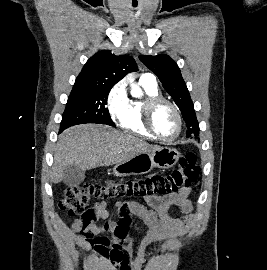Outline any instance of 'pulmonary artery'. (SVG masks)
Listing matches in <instances>:
<instances>
[{
  "label": "pulmonary artery",
  "instance_id": "e3ab8cb5",
  "mask_svg": "<svg viewBox=\"0 0 267 270\" xmlns=\"http://www.w3.org/2000/svg\"><path fill=\"white\" fill-rule=\"evenodd\" d=\"M140 80L156 83V78L153 74L151 73H144L141 75Z\"/></svg>",
  "mask_w": 267,
  "mask_h": 270
}]
</instances>
